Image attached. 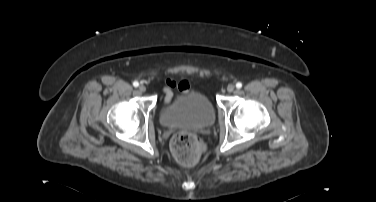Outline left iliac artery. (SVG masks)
<instances>
[{"instance_id": "1", "label": "left iliac artery", "mask_w": 376, "mask_h": 202, "mask_svg": "<svg viewBox=\"0 0 376 202\" xmlns=\"http://www.w3.org/2000/svg\"><path fill=\"white\" fill-rule=\"evenodd\" d=\"M236 87H237L238 89H240V88L242 87V83H241V82H237V83H236Z\"/></svg>"}]
</instances>
